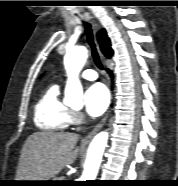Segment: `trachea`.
<instances>
[{
    "label": "trachea",
    "instance_id": "trachea-1",
    "mask_svg": "<svg viewBox=\"0 0 178 186\" xmlns=\"http://www.w3.org/2000/svg\"><path fill=\"white\" fill-rule=\"evenodd\" d=\"M83 23L85 25L87 41H88V43L91 47V52H92V57H93L94 63L96 64V66L100 70H103V64L101 62L100 56H99L97 48H96V44L94 42V35H93L91 25L89 23H86V22H83Z\"/></svg>",
    "mask_w": 178,
    "mask_h": 186
}]
</instances>
